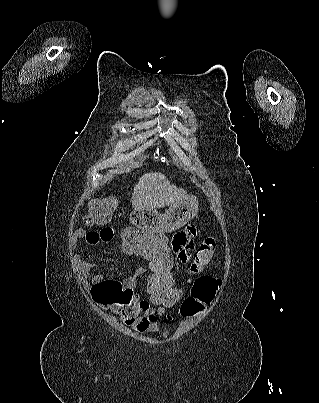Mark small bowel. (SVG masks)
Masks as SVG:
<instances>
[{
    "mask_svg": "<svg viewBox=\"0 0 319 403\" xmlns=\"http://www.w3.org/2000/svg\"><path fill=\"white\" fill-rule=\"evenodd\" d=\"M198 232V224H187L171 236L169 247L174 261L185 263L190 260ZM76 237H84L86 249H105V246L112 245L116 230L113 224H100L99 229L77 231ZM124 250L127 252V243L124 244ZM73 266L78 272L79 279L87 283L94 264L75 255ZM137 275L138 273H135L127 277L125 283L123 279L103 278L101 274L93 275L91 299L96 301V309H103V315H109L113 324H126L139 334L158 332L160 319L163 316L171 319V316L161 312L160 304H152L153 307H150L149 302L141 300L135 288ZM148 281L149 279L146 280V284ZM189 282L191 283L192 279ZM181 291L180 300L183 295L182 288ZM188 296H193L192 292ZM177 308H181V302Z\"/></svg>",
    "mask_w": 319,
    "mask_h": 403,
    "instance_id": "1",
    "label": "small bowel"
}]
</instances>
